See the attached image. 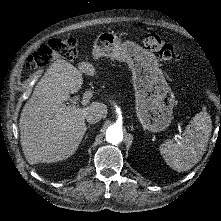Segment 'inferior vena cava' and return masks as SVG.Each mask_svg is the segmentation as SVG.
Instances as JSON below:
<instances>
[{
	"mask_svg": "<svg viewBox=\"0 0 221 221\" xmlns=\"http://www.w3.org/2000/svg\"><path fill=\"white\" fill-rule=\"evenodd\" d=\"M103 118V114L100 112H91L86 115L85 119L89 124H95Z\"/></svg>",
	"mask_w": 221,
	"mask_h": 221,
	"instance_id": "inferior-vena-cava-1",
	"label": "inferior vena cava"
}]
</instances>
